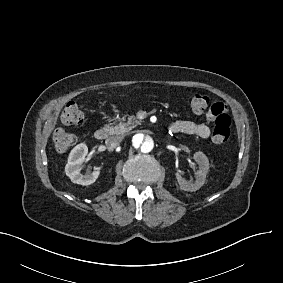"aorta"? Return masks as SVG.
Returning <instances> with one entry per match:
<instances>
[{"label": "aorta", "mask_w": 283, "mask_h": 283, "mask_svg": "<svg viewBox=\"0 0 283 283\" xmlns=\"http://www.w3.org/2000/svg\"><path fill=\"white\" fill-rule=\"evenodd\" d=\"M155 140L148 132H137L130 141V150L138 155H145L153 151Z\"/></svg>", "instance_id": "obj_1"}]
</instances>
